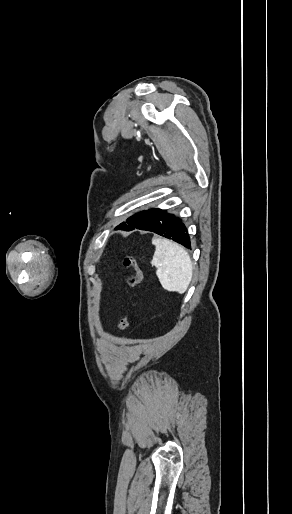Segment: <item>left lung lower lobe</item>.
Listing matches in <instances>:
<instances>
[{
	"label": "left lung lower lobe",
	"instance_id": "1",
	"mask_svg": "<svg viewBox=\"0 0 292 514\" xmlns=\"http://www.w3.org/2000/svg\"><path fill=\"white\" fill-rule=\"evenodd\" d=\"M158 235L172 239L177 243L191 248V240L188 231L181 219L163 210L152 225L145 229Z\"/></svg>",
	"mask_w": 292,
	"mask_h": 514
}]
</instances>
